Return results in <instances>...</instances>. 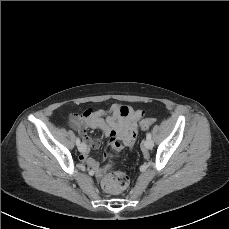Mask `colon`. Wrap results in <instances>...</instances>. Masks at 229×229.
<instances>
[{
	"mask_svg": "<svg viewBox=\"0 0 229 229\" xmlns=\"http://www.w3.org/2000/svg\"><path fill=\"white\" fill-rule=\"evenodd\" d=\"M154 123V119L148 118L141 121V128L147 129ZM135 137V133H133ZM116 132H112L109 136L110 142L116 140ZM128 177L122 172H106L102 178V186L104 190L112 195L121 194L128 186Z\"/></svg>",
	"mask_w": 229,
	"mask_h": 229,
	"instance_id": "obj_1",
	"label": "colon"
}]
</instances>
